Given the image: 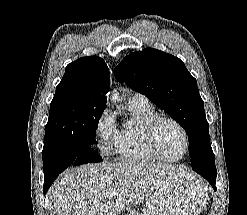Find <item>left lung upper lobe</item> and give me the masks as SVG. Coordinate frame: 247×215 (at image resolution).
I'll use <instances>...</instances> for the list:
<instances>
[{
	"label": "left lung upper lobe",
	"instance_id": "left-lung-upper-lobe-1",
	"mask_svg": "<svg viewBox=\"0 0 247 215\" xmlns=\"http://www.w3.org/2000/svg\"><path fill=\"white\" fill-rule=\"evenodd\" d=\"M120 83L147 96L186 131L191 164L201 152L211 149L209 124L196 79L182 60L148 48L126 56L114 71Z\"/></svg>",
	"mask_w": 247,
	"mask_h": 215
}]
</instances>
